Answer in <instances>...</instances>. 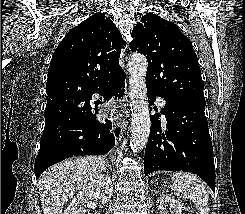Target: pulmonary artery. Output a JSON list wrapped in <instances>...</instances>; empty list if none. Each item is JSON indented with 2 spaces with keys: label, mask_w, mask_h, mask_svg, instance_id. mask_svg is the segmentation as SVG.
I'll use <instances>...</instances> for the list:
<instances>
[{
  "label": "pulmonary artery",
  "mask_w": 245,
  "mask_h": 214,
  "mask_svg": "<svg viewBox=\"0 0 245 214\" xmlns=\"http://www.w3.org/2000/svg\"><path fill=\"white\" fill-rule=\"evenodd\" d=\"M157 103H158L159 106H163L164 101H163L162 98H158V99H157Z\"/></svg>",
  "instance_id": "e3ab8cb5"
}]
</instances>
